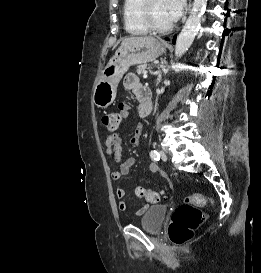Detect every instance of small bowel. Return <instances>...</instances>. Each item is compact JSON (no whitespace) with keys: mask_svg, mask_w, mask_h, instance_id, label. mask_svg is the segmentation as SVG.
Returning a JSON list of instances; mask_svg holds the SVG:
<instances>
[{"mask_svg":"<svg viewBox=\"0 0 261 273\" xmlns=\"http://www.w3.org/2000/svg\"><path fill=\"white\" fill-rule=\"evenodd\" d=\"M123 85L125 89L132 92L138 102L140 103V99L145 90H148L144 87L138 78V76L134 73H128L124 76ZM119 110L122 114V119H127L129 115L130 106L127 103H120ZM142 124H138L135 128L133 136L130 138V145L133 147H137L140 143L141 136H142ZM106 145V154L112 163H120L119 167L113 169L111 172V176L113 180H120L124 176H126L132 167L136 164V159L134 157H129L124 162L121 163L122 159V139L119 133L114 132L108 135L105 141ZM151 169L156 171V166H152ZM116 195L120 199L119 202V209L121 211H127L129 205L125 200L126 191L123 188H117ZM148 206L144 205L136 211L137 215H141L147 209Z\"/></svg>","mask_w":261,"mask_h":273,"instance_id":"small-bowel-1","label":"small bowel"}]
</instances>
